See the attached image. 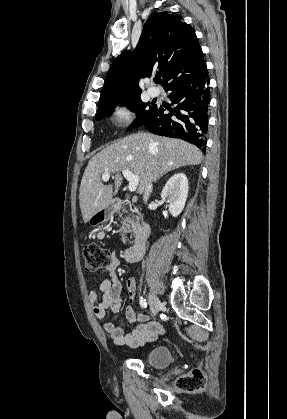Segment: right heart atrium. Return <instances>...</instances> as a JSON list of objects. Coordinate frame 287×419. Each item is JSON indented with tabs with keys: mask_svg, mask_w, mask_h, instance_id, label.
I'll return each instance as SVG.
<instances>
[{
	"mask_svg": "<svg viewBox=\"0 0 287 419\" xmlns=\"http://www.w3.org/2000/svg\"><path fill=\"white\" fill-rule=\"evenodd\" d=\"M133 114L125 105H118L111 112V121L115 128L122 129L132 122Z\"/></svg>",
	"mask_w": 287,
	"mask_h": 419,
	"instance_id": "d8ad5b80",
	"label": "right heart atrium"
}]
</instances>
